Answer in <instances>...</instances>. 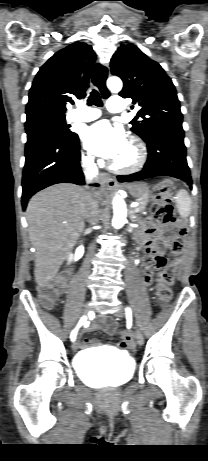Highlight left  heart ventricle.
<instances>
[{
    "label": "left heart ventricle",
    "mask_w": 208,
    "mask_h": 461,
    "mask_svg": "<svg viewBox=\"0 0 208 461\" xmlns=\"http://www.w3.org/2000/svg\"><path fill=\"white\" fill-rule=\"evenodd\" d=\"M134 157L135 154L133 149L128 143H126L124 150L116 159H114V162L120 165H129L134 161Z\"/></svg>",
    "instance_id": "obj_1"
}]
</instances>
